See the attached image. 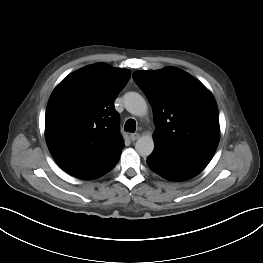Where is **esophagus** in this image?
<instances>
[{
	"mask_svg": "<svg viewBox=\"0 0 263 263\" xmlns=\"http://www.w3.org/2000/svg\"><path fill=\"white\" fill-rule=\"evenodd\" d=\"M139 137H140V134H139V133H132V134L130 135V139H131L132 141H136Z\"/></svg>",
	"mask_w": 263,
	"mask_h": 263,
	"instance_id": "esophagus-1",
	"label": "esophagus"
}]
</instances>
